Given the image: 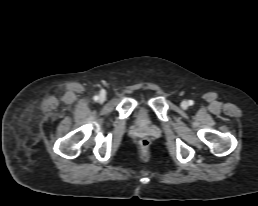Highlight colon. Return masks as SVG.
Instances as JSON below:
<instances>
[{
	"instance_id": "5ec220e1",
	"label": "colon",
	"mask_w": 258,
	"mask_h": 206,
	"mask_svg": "<svg viewBox=\"0 0 258 206\" xmlns=\"http://www.w3.org/2000/svg\"><path fill=\"white\" fill-rule=\"evenodd\" d=\"M150 145V139L148 137H144L140 141V146L142 149H147Z\"/></svg>"
}]
</instances>
